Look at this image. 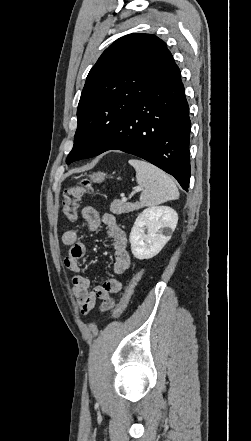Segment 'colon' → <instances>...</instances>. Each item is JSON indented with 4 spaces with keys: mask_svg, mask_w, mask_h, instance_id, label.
<instances>
[{
    "mask_svg": "<svg viewBox=\"0 0 251 441\" xmlns=\"http://www.w3.org/2000/svg\"><path fill=\"white\" fill-rule=\"evenodd\" d=\"M92 192L91 182L87 179L83 180L79 185L70 187L64 191L62 210L68 222H74L77 219L79 204L81 199ZM139 281V276L134 277L125 288L119 302L115 306L110 319H118L125 311L129 300L132 296L135 286Z\"/></svg>",
    "mask_w": 251,
    "mask_h": 441,
    "instance_id": "colon-1",
    "label": "colon"
}]
</instances>
